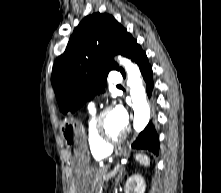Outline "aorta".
Wrapping results in <instances>:
<instances>
[{
  "instance_id": "obj_1",
  "label": "aorta",
  "mask_w": 221,
  "mask_h": 193,
  "mask_svg": "<svg viewBox=\"0 0 221 193\" xmlns=\"http://www.w3.org/2000/svg\"><path fill=\"white\" fill-rule=\"evenodd\" d=\"M118 63L127 73V86L130 88L132 108L134 111L133 127L136 132H141L149 122L150 107L146 100V92L141 78V72L131 60L119 56Z\"/></svg>"
}]
</instances>
